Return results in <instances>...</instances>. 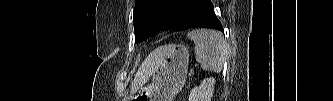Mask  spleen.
Listing matches in <instances>:
<instances>
[{"instance_id":"1","label":"spleen","mask_w":333,"mask_h":101,"mask_svg":"<svg viewBox=\"0 0 333 101\" xmlns=\"http://www.w3.org/2000/svg\"><path fill=\"white\" fill-rule=\"evenodd\" d=\"M195 44L196 61L205 71L220 72L227 60L229 46L217 31L199 29L188 33Z\"/></svg>"}]
</instances>
